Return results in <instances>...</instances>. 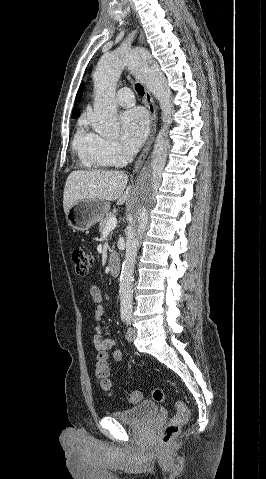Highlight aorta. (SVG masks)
I'll use <instances>...</instances> for the list:
<instances>
[{
    "label": "aorta",
    "mask_w": 266,
    "mask_h": 479,
    "mask_svg": "<svg viewBox=\"0 0 266 479\" xmlns=\"http://www.w3.org/2000/svg\"><path fill=\"white\" fill-rule=\"evenodd\" d=\"M125 67H128L134 73H140L148 77L150 74L154 93L166 105L168 104L169 91L164 79L156 72L147 50L143 48L118 49L106 53L99 60L93 75L95 99L93 111L89 115L92 127L101 134L117 136L119 133L115 92L117 82ZM155 182V172L152 169H146L131 200L133 220L127 233L126 250L119 284L121 314L132 312V283L135 262L140 241L148 223L149 202Z\"/></svg>",
    "instance_id": "obj_1"
}]
</instances>
